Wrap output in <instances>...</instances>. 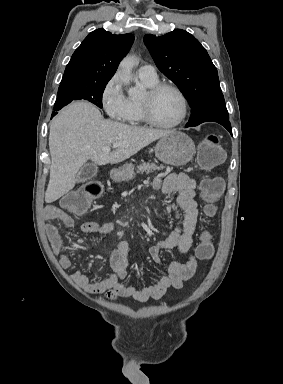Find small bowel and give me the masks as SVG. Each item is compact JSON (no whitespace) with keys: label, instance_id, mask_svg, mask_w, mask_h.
Masks as SVG:
<instances>
[{"label":"small bowel","instance_id":"obj_1","mask_svg":"<svg viewBox=\"0 0 283 384\" xmlns=\"http://www.w3.org/2000/svg\"><path fill=\"white\" fill-rule=\"evenodd\" d=\"M154 187L165 194H177L176 203L165 207L161 215L173 213L178 221L177 226L163 240L149 248V254L156 263H162L160 253L163 249L177 248L181 254L187 255L184 261H173L167 265L168 274L161 277L155 284L147 287L128 286L121 282L126 276L128 265L129 245L126 240H120L110 255V265L113 273L100 281H94L93 276L81 271L72 275L73 281L85 292L92 295H102L109 300L118 298H132L139 302L162 297L168 289H180L183 283L193 277L197 259L191 253L198 208L195 201L196 182L185 173H171L164 177H158ZM46 219L45 231L52 250L63 268L71 266V260L63 251V240L58 231L56 221H60L67 227L74 226V220L62 209L56 206H48L44 213ZM80 230L88 234L107 235L115 231V225L110 222L98 223L94 221L84 222Z\"/></svg>","mask_w":283,"mask_h":384}]
</instances>
